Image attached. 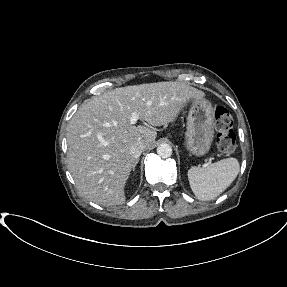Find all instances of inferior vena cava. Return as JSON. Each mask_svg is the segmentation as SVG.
Segmentation results:
<instances>
[{"mask_svg": "<svg viewBox=\"0 0 287 287\" xmlns=\"http://www.w3.org/2000/svg\"><path fill=\"white\" fill-rule=\"evenodd\" d=\"M145 149L144 145L140 142L134 143L131 147H130V155L137 159L141 153L143 152V150Z\"/></svg>", "mask_w": 287, "mask_h": 287, "instance_id": "inferior-vena-cava-1", "label": "inferior vena cava"}]
</instances>
